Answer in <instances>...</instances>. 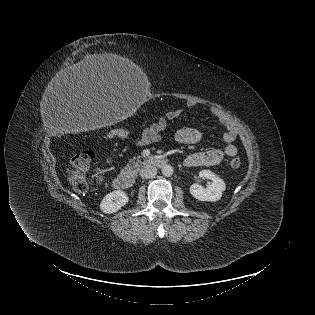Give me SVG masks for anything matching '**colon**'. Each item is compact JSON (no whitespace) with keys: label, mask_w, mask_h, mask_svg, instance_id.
<instances>
[{"label":"colon","mask_w":315,"mask_h":315,"mask_svg":"<svg viewBox=\"0 0 315 315\" xmlns=\"http://www.w3.org/2000/svg\"><path fill=\"white\" fill-rule=\"evenodd\" d=\"M130 134V130L119 128L111 133L112 138H125ZM94 153L91 150H81L73 155L70 159L68 168V180L77 192H85L88 189V181L85 176V172L90 166ZM241 160L234 158L230 161V166L234 169L239 168Z\"/></svg>","instance_id":"1"}]
</instances>
